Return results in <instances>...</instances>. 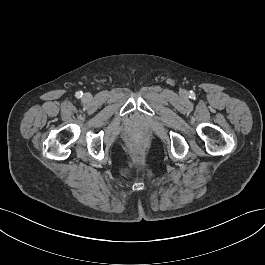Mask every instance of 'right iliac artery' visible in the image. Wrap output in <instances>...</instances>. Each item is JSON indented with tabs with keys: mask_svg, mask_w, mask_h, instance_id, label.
Masks as SVG:
<instances>
[{
	"mask_svg": "<svg viewBox=\"0 0 265 265\" xmlns=\"http://www.w3.org/2000/svg\"><path fill=\"white\" fill-rule=\"evenodd\" d=\"M82 95H83V93H82L81 91H78V92H76V94H75V96H76L77 98L82 97Z\"/></svg>",
	"mask_w": 265,
	"mask_h": 265,
	"instance_id": "1",
	"label": "right iliac artery"
}]
</instances>
